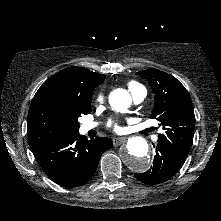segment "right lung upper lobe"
<instances>
[{
  "mask_svg": "<svg viewBox=\"0 0 221 221\" xmlns=\"http://www.w3.org/2000/svg\"><path fill=\"white\" fill-rule=\"evenodd\" d=\"M106 78L83 67H69L57 72L46 80L36 92L31 105L45 96H74L88 101L97 85Z\"/></svg>",
  "mask_w": 221,
  "mask_h": 221,
  "instance_id": "1",
  "label": "right lung upper lobe"
}]
</instances>
